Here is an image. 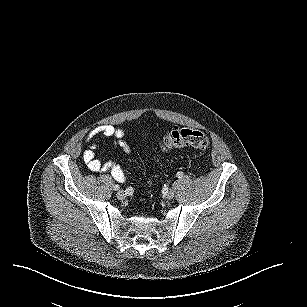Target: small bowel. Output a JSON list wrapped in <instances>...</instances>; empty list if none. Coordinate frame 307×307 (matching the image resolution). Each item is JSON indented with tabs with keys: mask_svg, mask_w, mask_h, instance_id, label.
<instances>
[{
	"mask_svg": "<svg viewBox=\"0 0 307 307\" xmlns=\"http://www.w3.org/2000/svg\"><path fill=\"white\" fill-rule=\"evenodd\" d=\"M123 135V130L109 124L99 125L93 128L87 135V140L90 141V144L82 154V159L87 168L92 172H110L116 181L124 182L126 175L120 166L112 162L103 163L96 157V140L99 138L113 139L116 144L121 145L129 153L130 148L122 140Z\"/></svg>",
	"mask_w": 307,
	"mask_h": 307,
	"instance_id": "obj_1",
	"label": "small bowel"
}]
</instances>
